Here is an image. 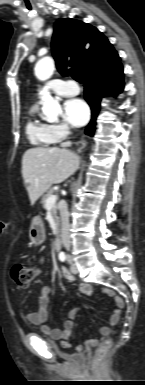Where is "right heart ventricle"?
<instances>
[{"label": "right heart ventricle", "instance_id": "e07e8e85", "mask_svg": "<svg viewBox=\"0 0 145 385\" xmlns=\"http://www.w3.org/2000/svg\"><path fill=\"white\" fill-rule=\"evenodd\" d=\"M25 130L28 139L34 145L47 146L55 143L50 125L37 117L36 105L29 110Z\"/></svg>", "mask_w": 145, "mask_h": 385}]
</instances>
